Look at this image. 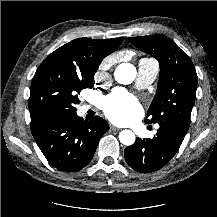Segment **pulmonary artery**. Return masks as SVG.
Instances as JSON below:
<instances>
[{
    "mask_svg": "<svg viewBox=\"0 0 217 217\" xmlns=\"http://www.w3.org/2000/svg\"><path fill=\"white\" fill-rule=\"evenodd\" d=\"M159 72L157 62L151 59H141L138 63V75L136 84L139 88L147 87L156 79ZM89 106H84L81 112H85ZM158 126L156 127V129Z\"/></svg>",
    "mask_w": 217,
    "mask_h": 217,
    "instance_id": "e3ab8cb5",
    "label": "pulmonary artery"
}]
</instances>
